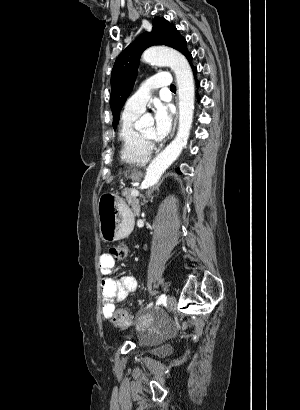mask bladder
Instances as JSON below:
<instances>
[{"label": "bladder", "instance_id": "bladder-1", "mask_svg": "<svg viewBox=\"0 0 300 410\" xmlns=\"http://www.w3.org/2000/svg\"><path fill=\"white\" fill-rule=\"evenodd\" d=\"M163 346H164L163 344L155 343V344H151L149 348H150V351L161 353Z\"/></svg>", "mask_w": 300, "mask_h": 410}]
</instances>
